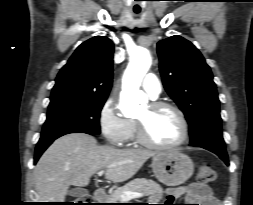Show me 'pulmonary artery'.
Listing matches in <instances>:
<instances>
[{"mask_svg": "<svg viewBox=\"0 0 253 205\" xmlns=\"http://www.w3.org/2000/svg\"><path fill=\"white\" fill-rule=\"evenodd\" d=\"M142 88L152 99H156L162 90L160 80L155 74L152 73H149L145 76L142 82Z\"/></svg>", "mask_w": 253, "mask_h": 205, "instance_id": "pulmonary-artery-1", "label": "pulmonary artery"}]
</instances>
